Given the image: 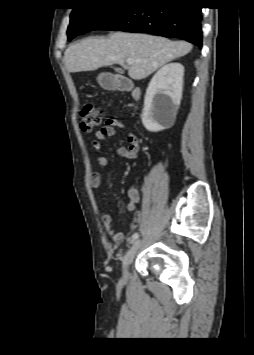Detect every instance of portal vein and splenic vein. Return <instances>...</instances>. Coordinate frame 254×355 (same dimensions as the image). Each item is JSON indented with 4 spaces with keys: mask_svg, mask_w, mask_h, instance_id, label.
<instances>
[{
    "mask_svg": "<svg viewBox=\"0 0 254 355\" xmlns=\"http://www.w3.org/2000/svg\"><path fill=\"white\" fill-rule=\"evenodd\" d=\"M126 62H127V64H132V63H134V60L131 59V58H128V59L126 60Z\"/></svg>",
    "mask_w": 254,
    "mask_h": 355,
    "instance_id": "18ae733b",
    "label": "portal vein and splenic vein"
}]
</instances>
